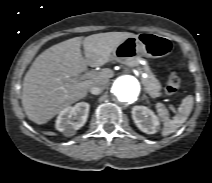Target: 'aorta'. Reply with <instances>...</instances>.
Returning a JSON list of instances; mask_svg holds the SVG:
<instances>
[{"mask_svg":"<svg viewBox=\"0 0 212 183\" xmlns=\"http://www.w3.org/2000/svg\"><path fill=\"white\" fill-rule=\"evenodd\" d=\"M141 91V85L137 78L131 75L118 77L111 88L113 98L120 104L134 102Z\"/></svg>","mask_w":212,"mask_h":183,"instance_id":"1","label":"aorta"}]
</instances>
